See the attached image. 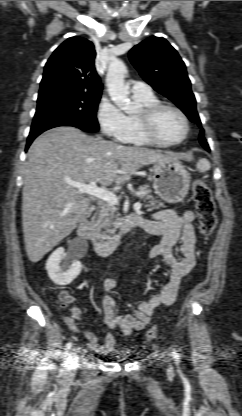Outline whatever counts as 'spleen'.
<instances>
[{"label":"spleen","mask_w":242,"mask_h":416,"mask_svg":"<svg viewBox=\"0 0 242 416\" xmlns=\"http://www.w3.org/2000/svg\"><path fill=\"white\" fill-rule=\"evenodd\" d=\"M210 168H211V164L207 159H205V158L199 159V161L197 163V169L200 172H205V171L209 170Z\"/></svg>","instance_id":"1"}]
</instances>
